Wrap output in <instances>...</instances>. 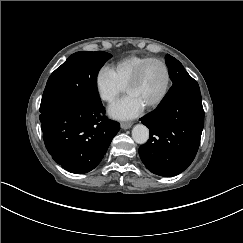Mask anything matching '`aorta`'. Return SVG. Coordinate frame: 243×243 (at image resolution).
Returning <instances> with one entry per match:
<instances>
[{
  "label": "aorta",
  "mask_w": 243,
  "mask_h": 243,
  "mask_svg": "<svg viewBox=\"0 0 243 243\" xmlns=\"http://www.w3.org/2000/svg\"><path fill=\"white\" fill-rule=\"evenodd\" d=\"M132 138L138 144H144L149 139V129L143 124H137L132 129Z\"/></svg>",
  "instance_id": "1"
}]
</instances>
